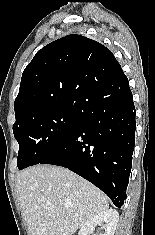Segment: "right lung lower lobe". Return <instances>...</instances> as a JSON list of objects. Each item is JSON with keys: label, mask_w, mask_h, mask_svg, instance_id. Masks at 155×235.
<instances>
[{"label": "right lung lower lobe", "mask_w": 155, "mask_h": 235, "mask_svg": "<svg viewBox=\"0 0 155 235\" xmlns=\"http://www.w3.org/2000/svg\"><path fill=\"white\" fill-rule=\"evenodd\" d=\"M135 107L124 73L95 86L78 105L79 128L39 163L63 166L121 207L135 145Z\"/></svg>", "instance_id": "obj_1"}]
</instances>
